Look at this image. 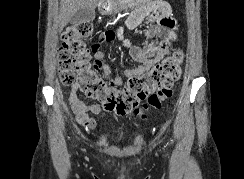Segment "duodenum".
<instances>
[{"mask_svg":"<svg viewBox=\"0 0 244 179\" xmlns=\"http://www.w3.org/2000/svg\"><path fill=\"white\" fill-rule=\"evenodd\" d=\"M101 4H102V3H101ZM97 9H98V10H101V9H102V6H101V5H98V6H97Z\"/></svg>","mask_w":244,"mask_h":179,"instance_id":"1","label":"duodenum"}]
</instances>
